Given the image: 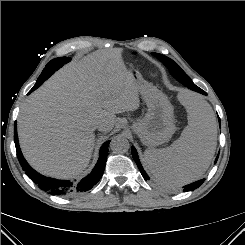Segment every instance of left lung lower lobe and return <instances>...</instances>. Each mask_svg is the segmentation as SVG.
Returning <instances> with one entry per match:
<instances>
[{
    "instance_id": "0a47b994",
    "label": "left lung lower lobe",
    "mask_w": 245,
    "mask_h": 245,
    "mask_svg": "<svg viewBox=\"0 0 245 245\" xmlns=\"http://www.w3.org/2000/svg\"><path fill=\"white\" fill-rule=\"evenodd\" d=\"M178 81H180L183 85H185L186 87H188V88H190L191 90H194V91H196V92H199V93H201V94H204V95H206V93H205V91H203L202 89H200L198 86H196L195 84H189V83H187L183 78H181L180 76H177V77H175ZM219 122H220V118H219ZM132 156H133V159L135 160V162H136V164H137V166H138V168H139V170H140V172H141V174H142V176H143V178L145 179V180H148L149 179V177H148V175L146 174V172L144 171V169H143V167H142V165H141V163H140V160H139V158H138V154H137V151H136V149L134 148V147H132ZM218 156H219V154H218ZM218 156H217V158H216V160H215V163H216V161H217V159H218ZM204 180L205 179H201V180H198V181H196V182H194V183H191V184H188V185H186V186H184V192H188V191H192V190H195V189H197L199 186H201V184L204 182Z\"/></svg>"
}]
</instances>
